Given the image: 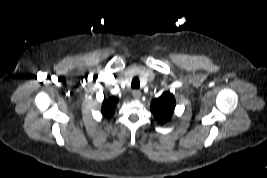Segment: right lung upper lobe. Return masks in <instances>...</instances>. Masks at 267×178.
<instances>
[{
  "mask_svg": "<svg viewBox=\"0 0 267 178\" xmlns=\"http://www.w3.org/2000/svg\"><path fill=\"white\" fill-rule=\"evenodd\" d=\"M118 99L115 97H110L109 99H105L102 105V113L105 117L110 118L113 115L114 107Z\"/></svg>",
  "mask_w": 267,
  "mask_h": 178,
  "instance_id": "1",
  "label": "right lung upper lobe"
}]
</instances>
